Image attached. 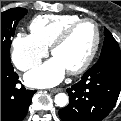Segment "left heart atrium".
Here are the masks:
<instances>
[{
	"mask_svg": "<svg viewBox=\"0 0 121 121\" xmlns=\"http://www.w3.org/2000/svg\"><path fill=\"white\" fill-rule=\"evenodd\" d=\"M66 74L63 64L55 56L27 73V84L34 87H52L62 81Z\"/></svg>",
	"mask_w": 121,
	"mask_h": 121,
	"instance_id": "39dd6f15",
	"label": "left heart atrium"
}]
</instances>
